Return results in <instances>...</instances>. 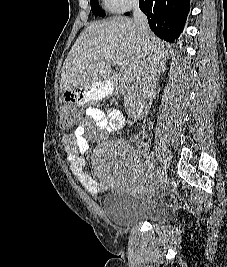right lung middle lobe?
<instances>
[{
    "mask_svg": "<svg viewBox=\"0 0 227 267\" xmlns=\"http://www.w3.org/2000/svg\"><path fill=\"white\" fill-rule=\"evenodd\" d=\"M91 11L95 16H101L104 17L105 13L99 6L98 0H91Z\"/></svg>",
    "mask_w": 227,
    "mask_h": 267,
    "instance_id": "right-lung-middle-lobe-1",
    "label": "right lung middle lobe"
}]
</instances>
